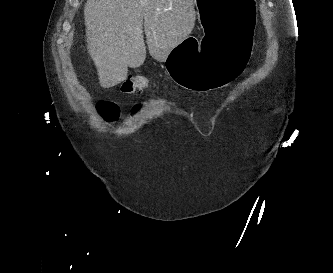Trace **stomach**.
<instances>
[{
	"label": "stomach",
	"mask_w": 333,
	"mask_h": 273,
	"mask_svg": "<svg viewBox=\"0 0 333 273\" xmlns=\"http://www.w3.org/2000/svg\"><path fill=\"white\" fill-rule=\"evenodd\" d=\"M202 39L188 36L167 54L166 68L180 86L208 91L242 75L253 50L255 0H195ZM197 45V49H196Z\"/></svg>",
	"instance_id": "stomach-1"
}]
</instances>
